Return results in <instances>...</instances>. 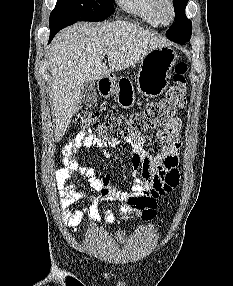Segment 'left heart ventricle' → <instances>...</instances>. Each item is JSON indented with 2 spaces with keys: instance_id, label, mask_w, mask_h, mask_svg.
<instances>
[{
  "instance_id": "obj_1",
  "label": "left heart ventricle",
  "mask_w": 233,
  "mask_h": 286,
  "mask_svg": "<svg viewBox=\"0 0 233 286\" xmlns=\"http://www.w3.org/2000/svg\"><path fill=\"white\" fill-rule=\"evenodd\" d=\"M162 14H163V17H164L165 19H168L169 16H170L169 9H168V8H164L163 11H162Z\"/></svg>"
}]
</instances>
